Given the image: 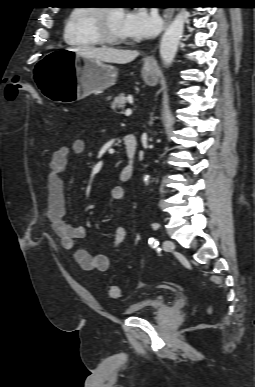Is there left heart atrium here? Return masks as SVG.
<instances>
[{"instance_id":"left-heart-atrium-1","label":"left heart atrium","mask_w":255,"mask_h":387,"mask_svg":"<svg viewBox=\"0 0 255 387\" xmlns=\"http://www.w3.org/2000/svg\"><path fill=\"white\" fill-rule=\"evenodd\" d=\"M161 29V20L155 12L143 8L125 14L123 30L127 37L151 38Z\"/></svg>"}]
</instances>
